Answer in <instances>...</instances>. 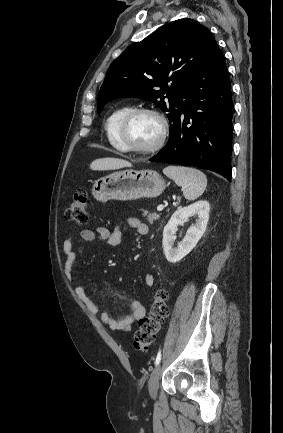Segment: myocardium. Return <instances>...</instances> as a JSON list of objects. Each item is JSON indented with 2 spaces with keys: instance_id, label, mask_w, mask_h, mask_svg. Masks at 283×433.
Returning <instances> with one entry per match:
<instances>
[{
  "instance_id": "f54148a6",
  "label": "myocardium",
  "mask_w": 283,
  "mask_h": 433,
  "mask_svg": "<svg viewBox=\"0 0 283 433\" xmlns=\"http://www.w3.org/2000/svg\"><path fill=\"white\" fill-rule=\"evenodd\" d=\"M141 114H152V115L156 116L160 120L161 125H162L161 136H160L158 142L152 148H149V149H142V148L136 147L126 137V133H127V130L129 128L131 122L133 121V119L135 117H137L138 115H141ZM169 128H170L169 120H168L167 116L162 111L158 110L157 108L151 107V106L136 107V108L130 109L122 117V119L119 123V126H118L117 138H118L119 143L123 147V149L127 152H131V153L141 155V156H155L163 150V148L166 144V140L168 138Z\"/></svg>"
}]
</instances>
